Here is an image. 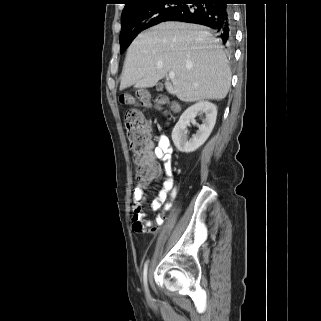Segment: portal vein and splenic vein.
Wrapping results in <instances>:
<instances>
[{"label": "portal vein and splenic vein", "mask_w": 321, "mask_h": 321, "mask_svg": "<svg viewBox=\"0 0 321 321\" xmlns=\"http://www.w3.org/2000/svg\"><path fill=\"white\" fill-rule=\"evenodd\" d=\"M169 78L170 79H174L175 78V73L174 72H170L169 73Z\"/></svg>", "instance_id": "obj_1"}]
</instances>
